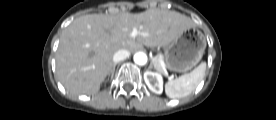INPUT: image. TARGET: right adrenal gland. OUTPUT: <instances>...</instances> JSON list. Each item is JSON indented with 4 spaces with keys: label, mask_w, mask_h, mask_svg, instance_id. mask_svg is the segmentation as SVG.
Segmentation results:
<instances>
[{
    "label": "right adrenal gland",
    "mask_w": 276,
    "mask_h": 120,
    "mask_svg": "<svg viewBox=\"0 0 276 120\" xmlns=\"http://www.w3.org/2000/svg\"><path fill=\"white\" fill-rule=\"evenodd\" d=\"M116 65H117V63H114V64H113V67H112V70H111V78H112L113 75H114V71H115Z\"/></svg>",
    "instance_id": "obj_1"
}]
</instances>
